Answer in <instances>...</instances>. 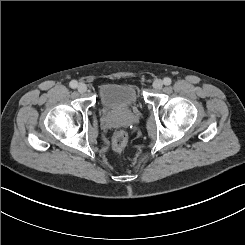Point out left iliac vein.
Wrapping results in <instances>:
<instances>
[{
	"mask_svg": "<svg viewBox=\"0 0 245 245\" xmlns=\"http://www.w3.org/2000/svg\"><path fill=\"white\" fill-rule=\"evenodd\" d=\"M163 87V82L160 79H157L153 82V88L156 90H160Z\"/></svg>",
	"mask_w": 245,
	"mask_h": 245,
	"instance_id": "1",
	"label": "left iliac vein"
}]
</instances>
